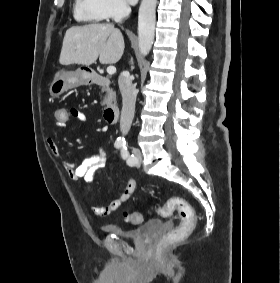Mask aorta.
Returning a JSON list of instances; mask_svg holds the SVG:
<instances>
[{
  "mask_svg": "<svg viewBox=\"0 0 280 283\" xmlns=\"http://www.w3.org/2000/svg\"><path fill=\"white\" fill-rule=\"evenodd\" d=\"M157 0H142L138 15V39L141 55L149 54L155 35Z\"/></svg>",
  "mask_w": 280,
  "mask_h": 283,
  "instance_id": "1",
  "label": "aorta"
}]
</instances>
